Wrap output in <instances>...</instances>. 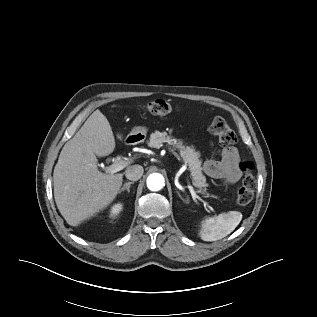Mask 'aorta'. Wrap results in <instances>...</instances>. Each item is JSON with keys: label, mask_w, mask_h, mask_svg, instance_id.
Wrapping results in <instances>:
<instances>
[{"label": "aorta", "mask_w": 317, "mask_h": 317, "mask_svg": "<svg viewBox=\"0 0 317 317\" xmlns=\"http://www.w3.org/2000/svg\"><path fill=\"white\" fill-rule=\"evenodd\" d=\"M147 187L151 191H159L165 186L164 177L159 173H152L147 178Z\"/></svg>", "instance_id": "aorta-1"}]
</instances>
